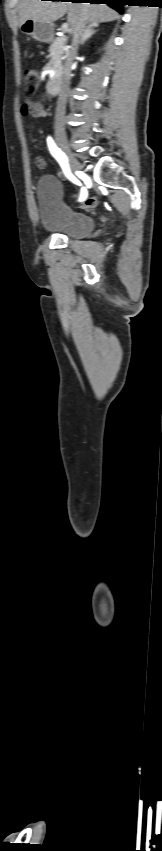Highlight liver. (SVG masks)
<instances>
[{
    "mask_svg": "<svg viewBox=\"0 0 162 851\" xmlns=\"http://www.w3.org/2000/svg\"><path fill=\"white\" fill-rule=\"evenodd\" d=\"M66 13L71 32L81 17L85 18L86 24L109 22L119 18L116 11L104 4L21 0L19 26L27 19L42 23H53Z\"/></svg>",
    "mask_w": 162,
    "mask_h": 851,
    "instance_id": "obj_1",
    "label": "liver"
}]
</instances>
